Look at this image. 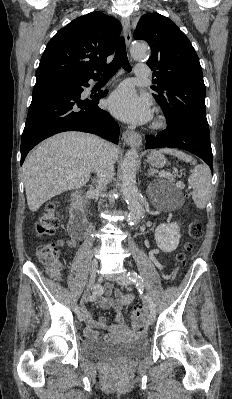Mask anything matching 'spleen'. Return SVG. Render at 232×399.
Listing matches in <instances>:
<instances>
[{"mask_svg":"<svg viewBox=\"0 0 232 399\" xmlns=\"http://www.w3.org/2000/svg\"><path fill=\"white\" fill-rule=\"evenodd\" d=\"M159 152H161V154H171V156H176V158L183 160V162H192L193 160L192 156H187L184 152L172 150V148H163V150H159ZM188 184L193 188L192 200L196 207H200V209L206 207L211 190V172L208 166H206V164L195 166L194 170H191Z\"/></svg>","mask_w":232,"mask_h":399,"instance_id":"spleen-1","label":"spleen"}]
</instances>
